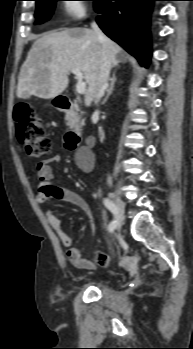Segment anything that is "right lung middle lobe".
I'll list each match as a JSON object with an SVG mask.
<instances>
[{"label": "right lung middle lobe", "instance_id": "dd1d6c3e", "mask_svg": "<svg viewBox=\"0 0 193 349\" xmlns=\"http://www.w3.org/2000/svg\"><path fill=\"white\" fill-rule=\"evenodd\" d=\"M36 23L41 24L50 19L57 1L60 0H36ZM96 3L97 0H90Z\"/></svg>", "mask_w": 193, "mask_h": 349}]
</instances>
